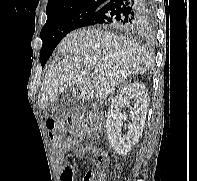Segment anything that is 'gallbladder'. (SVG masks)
I'll list each match as a JSON object with an SVG mask.
<instances>
[{"label": "gallbladder", "instance_id": "obj_1", "mask_svg": "<svg viewBox=\"0 0 197 181\" xmlns=\"http://www.w3.org/2000/svg\"><path fill=\"white\" fill-rule=\"evenodd\" d=\"M74 93H76V91L73 87L66 88L64 93H62V95L60 96V98L55 100L49 108H52L53 110L60 108L62 110L66 107L67 103L70 109H74L76 102L74 99L71 98V95H73Z\"/></svg>", "mask_w": 197, "mask_h": 181}]
</instances>
